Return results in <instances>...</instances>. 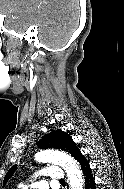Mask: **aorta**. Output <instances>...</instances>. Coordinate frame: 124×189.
<instances>
[{"label": "aorta", "mask_w": 124, "mask_h": 189, "mask_svg": "<svg viewBox=\"0 0 124 189\" xmlns=\"http://www.w3.org/2000/svg\"><path fill=\"white\" fill-rule=\"evenodd\" d=\"M35 160L62 166L67 173L70 189H83V178L80 168L71 156L56 150H43L35 155Z\"/></svg>", "instance_id": "aorta-1"}]
</instances>
